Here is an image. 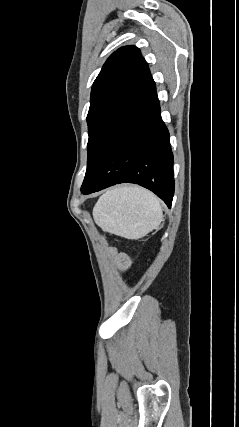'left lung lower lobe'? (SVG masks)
Returning <instances> with one entry per match:
<instances>
[{
  "label": "left lung lower lobe",
  "instance_id": "1",
  "mask_svg": "<svg viewBox=\"0 0 239 427\" xmlns=\"http://www.w3.org/2000/svg\"><path fill=\"white\" fill-rule=\"evenodd\" d=\"M124 182L151 190L171 207L173 154L157 94L113 136L81 192L91 194Z\"/></svg>",
  "mask_w": 239,
  "mask_h": 427
}]
</instances>
